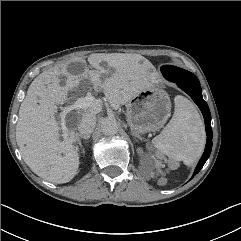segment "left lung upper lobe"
Returning <instances> with one entry per match:
<instances>
[{"instance_id":"1","label":"left lung upper lobe","mask_w":241,"mask_h":241,"mask_svg":"<svg viewBox=\"0 0 241 241\" xmlns=\"http://www.w3.org/2000/svg\"><path fill=\"white\" fill-rule=\"evenodd\" d=\"M161 72L165 78H175L178 80H192L196 78L191 72L171 65L161 67Z\"/></svg>"}]
</instances>
